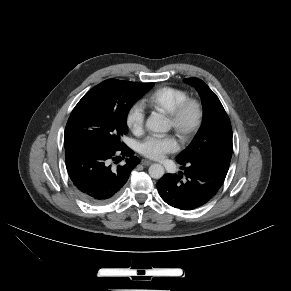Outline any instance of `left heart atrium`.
<instances>
[{
	"mask_svg": "<svg viewBox=\"0 0 291 291\" xmlns=\"http://www.w3.org/2000/svg\"><path fill=\"white\" fill-rule=\"evenodd\" d=\"M178 149L174 136H148L139 145V152L150 159H161L165 154Z\"/></svg>",
	"mask_w": 291,
	"mask_h": 291,
	"instance_id": "39dd6f15",
	"label": "left heart atrium"
}]
</instances>
